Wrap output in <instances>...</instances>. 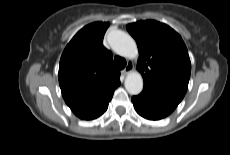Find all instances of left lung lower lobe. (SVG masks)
<instances>
[{"label":"left lung lower lobe","instance_id":"obj_1","mask_svg":"<svg viewBox=\"0 0 230 155\" xmlns=\"http://www.w3.org/2000/svg\"><path fill=\"white\" fill-rule=\"evenodd\" d=\"M132 102L136 112L148 120L165 118L178 106L147 90H143L138 96H133Z\"/></svg>","mask_w":230,"mask_h":155}]
</instances>
